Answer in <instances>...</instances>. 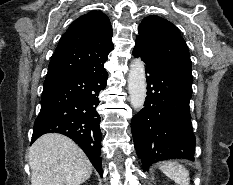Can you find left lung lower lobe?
Returning a JSON list of instances; mask_svg holds the SVG:
<instances>
[{"mask_svg":"<svg viewBox=\"0 0 233 185\" xmlns=\"http://www.w3.org/2000/svg\"><path fill=\"white\" fill-rule=\"evenodd\" d=\"M133 55L141 57L146 66L145 107L131 121L134 146L143 168L147 170L167 159L194 161L195 136L189 111L191 69L154 59L136 46Z\"/></svg>","mask_w":233,"mask_h":185,"instance_id":"0a47b994","label":"left lung lower lobe"}]
</instances>
